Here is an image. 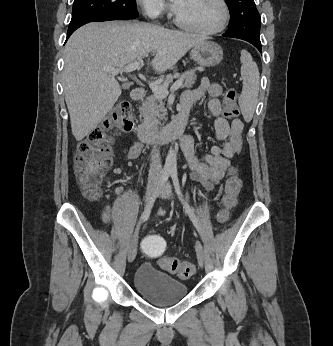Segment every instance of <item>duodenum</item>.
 Instances as JSON below:
<instances>
[{
  "mask_svg": "<svg viewBox=\"0 0 333 346\" xmlns=\"http://www.w3.org/2000/svg\"><path fill=\"white\" fill-rule=\"evenodd\" d=\"M145 95L144 88L136 87L133 89L131 97L135 101H140L144 99ZM187 122V116L178 115L172 122L158 130L140 124L136 128V134L139 140L145 143L167 142L178 137H185Z\"/></svg>",
  "mask_w": 333,
  "mask_h": 346,
  "instance_id": "obj_1",
  "label": "duodenum"
}]
</instances>
